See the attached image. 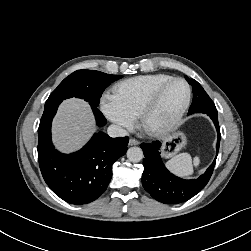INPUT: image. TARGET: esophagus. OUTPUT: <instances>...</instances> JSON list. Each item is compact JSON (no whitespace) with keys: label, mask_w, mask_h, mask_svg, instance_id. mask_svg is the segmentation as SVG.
<instances>
[{"label":"esophagus","mask_w":251,"mask_h":251,"mask_svg":"<svg viewBox=\"0 0 251 251\" xmlns=\"http://www.w3.org/2000/svg\"><path fill=\"white\" fill-rule=\"evenodd\" d=\"M138 144H139V141L136 140V139H134V138H131V139L129 140V145H130V146H135V145H138Z\"/></svg>","instance_id":"34e87169"}]
</instances>
